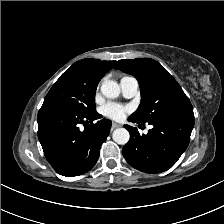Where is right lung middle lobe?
<instances>
[{
    "instance_id": "right-lung-middle-lobe-1",
    "label": "right lung middle lobe",
    "mask_w": 224,
    "mask_h": 224,
    "mask_svg": "<svg viewBox=\"0 0 224 224\" xmlns=\"http://www.w3.org/2000/svg\"><path fill=\"white\" fill-rule=\"evenodd\" d=\"M100 78L71 66L54 83L43 104L72 110L80 115L96 112L95 92Z\"/></svg>"
}]
</instances>
